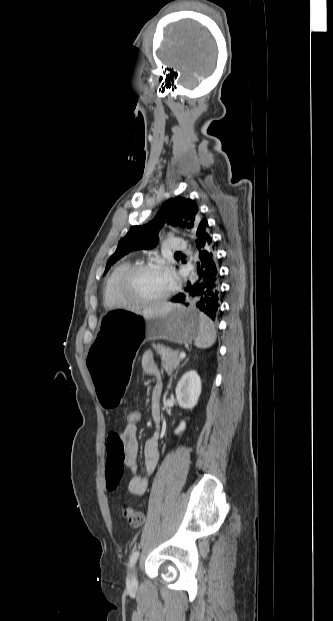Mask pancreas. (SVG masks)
Returning <instances> with one entry per match:
<instances>
[{
	"label": "pancreas",
	"instance_id": "1",
	"mask_svg": "<svg viewBox=\"0 0 333 621\" xmlns=\"http://www.w3.org/2000/svg\"><path fill=\"white\" fill-rule=\"evenodd\" d=\"M153 348L161 356L163 369L171 374L180 364L179 350H173L164 345L153 346Z\"/></svg>",
	"mask_w": 333,
	"mask_h": 621
}]
</instances>
